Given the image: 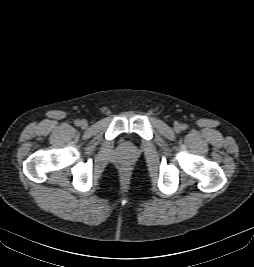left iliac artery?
Masks as SVG:
<instances>
[{
    "instance_id": "1",
    "label": "left iliac artery",
    "mask_w": 254,
    "mask_h": 267,
    "mask_svg": "<svg viewBox=\"0 0 254 267\" xmlns=\"http://www.w3.org/2000/svg\"><path fill=\"white\" fill-rule=\"evenodd\" d=\"M187 128V126L185 125V124H183L182 126H181V129L182 130H185Z\"/></svg>"
}]
</instances>
